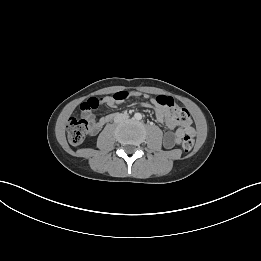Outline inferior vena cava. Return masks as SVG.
I'll list each match as a JSON object with an SVG mask.
<instances>
[{
    "mask_svg": "<svg viewBox=\"0 0 261 261\" xmlns=\"http://www.w3.org/2000/svg\"><path fill=\"white\" fill-rule=\"evenodd\" d=\"M127 118H128L127 115H121V116H120V119H122V120L127 119Z\"/></svg>",
    "mask_w": 261,
    "mask_h": 261,
    "instance_id": "inferior-vena-cava-1",
    "label": "inferior vena cava"
}]
</instances>
